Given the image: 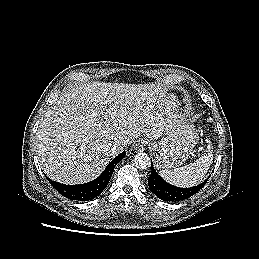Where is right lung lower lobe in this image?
Returning <instances> with one entry per match:
<instances>
[{"label":"right lung lower lobe","instance_id":"obj_1","mask_svg":"<svg viewBox=\"0 0 259 259\" xmlns=\"http://www.w3.org/2000/svg\"><path fill=\"white\" fill-rule=\"evenodd\" d=\"M125 157V152L120 153L113 161H111L95 180L80 185H65L47 178L50 184L63 196L72 200L89 201L100 195L107 187L114 167Z\"/></svg>","mask_w":259,"mask_h":259}]
</instances>
